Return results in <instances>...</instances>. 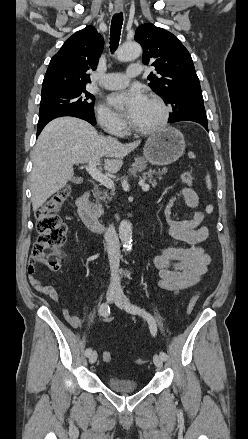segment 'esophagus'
Returning <instances> with one entry per match:
<instances>
[{
    "mask_svg": "<svg viewBox=\"0 0 248 439\" xmlns=\"http://www.w3.org/2000/svg\"><path fill=\"white\" fill-rule=\"evenodd\" d=\"M122 10H123V5H121V4L115 5V11L116 12H121Z\"/></svg>",
    "mask_w": 248,
    "mask_h": 439,
    "instance_id": "34e87169",
    "label": "esophagus"
}]
</instances>
